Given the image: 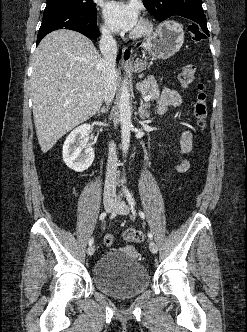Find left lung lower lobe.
<instances>
[{
  "label": "left lung lower lobe",
  "mask_w": 247,
  "mask_h": 332,
  "mask_svg": "<svg viewBox=\"0 0 247 332\" xmlns=\"http://www.w3.org/2000/svg\"><path fill=\"white\" fill-rule=\"evenodd\" d=\"M175 16L183 17L193 21L195 25H197V27L204 32V34H202L203 38L209 36L205 15L176 14Z\"/></svg>",
  "instance_id": "left-lung-lower-lobe-1"
}]
</instances>
